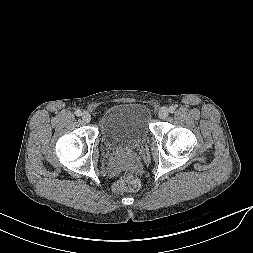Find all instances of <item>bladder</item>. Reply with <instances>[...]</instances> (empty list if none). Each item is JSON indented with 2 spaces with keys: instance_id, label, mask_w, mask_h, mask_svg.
<instances>
[{
  "instance_id": "bladder-1",
  "label": "bladder",
  "mask_w": 253,
  "mask_h": 253,
  "mask_svg": "<svg viewBox=\"0 0 253 253\" xmlns=\"http://www.w3.org/2000/svg\"><path fill=\"white\" fill-rule=\"evenodd\" d=\"M99 130L107 151L137 149L150 135V110L146 105L137 102L115 104L102 116Z\"/></svg>"
}]
</instances>
